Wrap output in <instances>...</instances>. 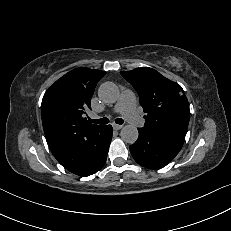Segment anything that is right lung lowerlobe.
<instances>
[{"instance_id": "98d812e1", "label": "right lung lower lobe", "mask_w": 231, "mask_h": 231, "mask_svg": "<svg viewBox=\"0 0 231 231\" xmlns=\"http://www.w3.org/2000/svg\"><path fill=\"white\" fill-rule=\"evenodd\" d=\"M112 126H98L81 132L71 148L56 159L70 172L79 176H89L105 164L112 139Z\"/></svg>"}]
</instances>
